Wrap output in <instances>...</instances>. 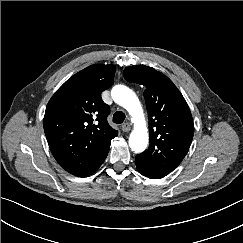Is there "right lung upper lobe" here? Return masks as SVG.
<instances>
[{
	"mask_svg": "<svg viewBox=\"0 0 243 243\" xmlns=\"http://www.w3.org/2000/svg\"><path fill=\"white\" fill-rule=\"evenodd\" d=\"M114 65L95 64L69 78L50 99L44 131L51 152L67 172L85 177L104 162L118 135L107 122L101 93L114 82Z\"/></svg>",
	"mask_w": 243,
	"mask_h": 243,
	"instance_id": "1",
	"label": "right lung upper lobe"
}]
</instances>
